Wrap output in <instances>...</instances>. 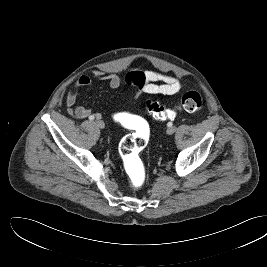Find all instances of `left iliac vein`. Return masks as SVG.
Returning a JSON list of instances; mask_svg holds the SVG:
<instances>
[{
    "label": "left iliac vein",
    "mask_w": 267,
    "mask_h": 267,
    "mask_svg": "<svg viewBox=\"0 0 267 267\" xmlns=\"http://www.w3.org/2000/svg\"><path fill=\"white\" fill-rule=\"evenodd\" d=\"M175 131H176L175 127H169L166 132L167 134L172 135L173 133H175Z\"/></svg>",
    "instance_id": "obj_1"
}]
</instances>
